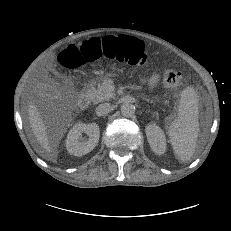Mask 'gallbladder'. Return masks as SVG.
I'll return each instance as SVG.
<instances>
[{"label":"gallbladder","mask_w":231,"mask_h":231,"mask_svg":"<svg viewBox=\"0 0 231 231\" xmlns=\"http://www.w3.org/2000/svg\"><path fill=\"white\" fill-rule=\"evenodd\" d=\"M42 92L48 97H54L58 94V89L56 86L52 85L51 83H48L43 86Z\"/></svg>","instance_id":"obj_1"}]
</instances>
